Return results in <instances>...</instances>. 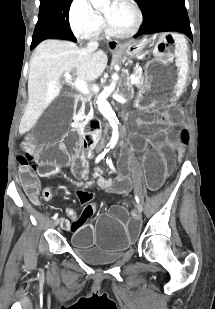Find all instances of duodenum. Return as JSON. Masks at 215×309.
I'll list each match as a JSON object with an SVG mask.
<instances>
[{"instance_id": "1", "label": "duodenum", "mask_w": 215, "mask_h": 309, "mask_svg": "<svg viewBox=\"0 0 215 309\" xmlns=\"http://www.w3.org/2000/svg\"><path fill=\"white\" fill-rule=\"evenodd\" d=\"M100 123L101 121L97 118L91 121V128L84 136V143L87 149H93L100 145L102 140ZM74 126L75 128L80 129L83 127V124L80 120H75Z\"/></svg>"}]
</instances>
